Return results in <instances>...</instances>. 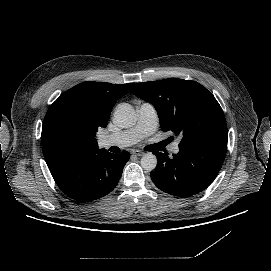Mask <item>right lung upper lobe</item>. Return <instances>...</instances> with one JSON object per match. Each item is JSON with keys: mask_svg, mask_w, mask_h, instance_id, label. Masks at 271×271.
Returning <instances> with one entry per match:
<instances>
[{"mask_svg": "<svg viewBox=\"0 0 271 271\" xmlns=\"http://www.w3.org/2000/svg\"><path fill=\"white\" fill-rule=\"evenodd\" d=\"M132 85L133 83L119 85L88 81L61 94L50 106L43 121L41 143L47 165L73 152L99 149L95 139L96 131L100 127H106L113 105ZM66 112L70 113L85 131L84 138L70 149L54 146L48 132L50 123L60 113Z\"/></svg>", "mask_w": 271, "mask_h": 271, "instance_id": "cb5924a9", "label": "right lung upper lobe"}]
</instances>
